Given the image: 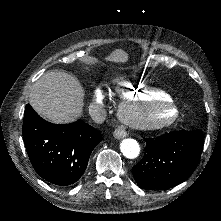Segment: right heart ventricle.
<instances>
[{
  "label": "right heart ventricle",
  "mask_w": 221,
  "mask_h": 221,
  "mask_svg": "<svg viewBox=\"0 0 221 221\" xmlns=\"http://www.w3.org/2000/svg\"><path fill=\"white\" fill-rule=\"evenodd\" d=\"M119 99L122 102H127L129 99L132 102L147 103H165L172 99V94L169 91L159 90L149 83H142L137 78H124L118 84Z\"/></svg>",
  "instance_id": "1"
}]
</instances>
